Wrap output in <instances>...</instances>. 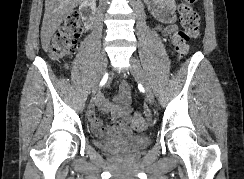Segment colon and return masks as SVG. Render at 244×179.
I'll return each mask as SVG.
<instances>
[{"label": "colon", "instance_id": "obj_1", "mask_svg": "<svg viewBox=\"0 0 244 179\" xmlns=\"http://www.w3.org/2000/svg\"><path fill=\"white\" fill-rule=\"evenodd\" d=\"M198 0L183 1L179 6L180 28L174 33L172 44L178 57L183 58L189 50V41L198 34L200 15L194 9L193 3ZM81 29L77 17H70L60 26L51 44V57L59 63L67 58L76 49L75 40ZM131 123L135 130L142 131L146 128L141 116V108H134Z\"/></svg>", "mask_w": 244, "mask_h": 179}]
</instances>
